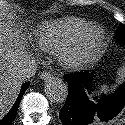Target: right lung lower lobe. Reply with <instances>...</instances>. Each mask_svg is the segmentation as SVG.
<instances>
[{"mask_svg": "<svg viewBox=\"0 0 125 125\" xmlns=\"http://www.w3.org/2000/svg\"><path fill=\"white\" fill-rule=\"evenodd\" d=\"M28 86H29V82H26L23 84L15 103L13 104V106L11 107L9 112L0 120V125H11L12 124V122L14 121V119L16 117L21 98L24 95L25 91L27 90Z\"/></svg>", "mask_w": 125, "mask_h": 125, "instance_id": "1", "label": "right lung lower lobe"}]
</instances>
